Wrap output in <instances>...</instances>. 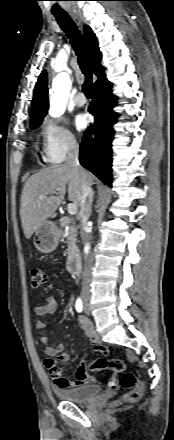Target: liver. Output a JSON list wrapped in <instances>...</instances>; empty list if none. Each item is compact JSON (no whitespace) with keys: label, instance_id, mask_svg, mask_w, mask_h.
Segmentation results:
<instances>
[{"label":"liver","instance_id":"liver-1","mask_svg":"<svg viewBox=\"0 0 174 440\" xmlns=\"http://www.w3.org/2000/svg\"><path fill=\"white\" fill-rule=\"evenodd\" d=\"M90 186L93 177L86 171ZM68 186V199L80 206V174L72 166L63 164L44 169L32 175L25 183L20 206V216L24 235L29 239L48 218L56 216V210L64 200ZM58 192L57 195H54ZM39 196H45L39 199Z\"/></svg>","mask_w":174,"mask_h":440}]
</instances>
